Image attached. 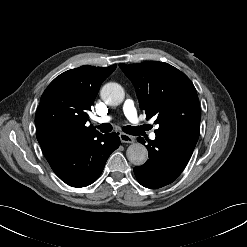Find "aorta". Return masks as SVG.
Here are the masks:
<instances>
[{
  "mask_svg": "<svg viewBox=\"0 0 247 247\" xmlns=\"http://www.w3.org/2000/svg\"><path fill=\"white\" fill-rule=\"evenodd\" d=\"M100 97L106 104L117 106L123 102L125 92L121 85L110 82L102 87ZM126 155L128 160L135 166L143 165L148 159L146 147L138 142L131 144L127 148Z\"/></svg>",
  "mask_w": 247,
  "mask_h": 247,
  "instance_id": "762f6f07",
  "label": "aorta"
}]
</instances>
